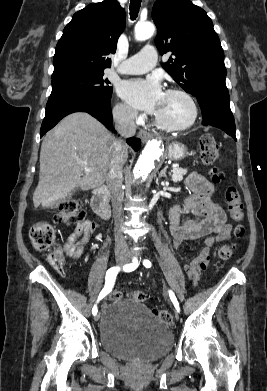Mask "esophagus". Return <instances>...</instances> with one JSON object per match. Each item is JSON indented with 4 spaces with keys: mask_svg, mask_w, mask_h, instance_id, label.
<instances>
[{
    "mask_svg": "<svg viewBox=\"0 0 267 391\" xmlns=\"http://www.w3.org/2000/svg\"><path fill=\"white\" fill-rule=\"evenodd\" d=\"M139 137L142 140V142H146L150 138V133L147 131L141 130L139 132Z\"/></svg>",
    "mask_w": 267,
    "mask_h": 391,
    "instance_id": "1",
    "label": "esophagus"
}]
</instances>
